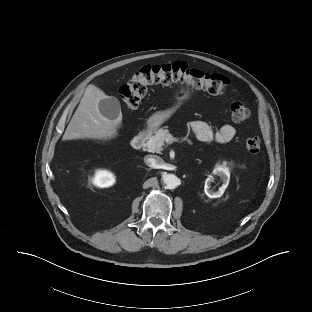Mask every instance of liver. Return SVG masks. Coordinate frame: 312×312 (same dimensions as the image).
I'll return each mask as SVG.
<instances>
[{"label":"liver","mask_w":312,"mask_h":312,"mask_svg":"<svg viewBox=\"0 0 312 312\" xmlns=\"http://www.w3.org/2000/svg\"><path fill=\"white\" fill-rule=\"evenodd\" d=\"M108 97L95 85H89L62 139L109 140L116 137L117 122L106 118L99 110V102Z\"/></svg>","instance_id":"liver-1"}]
</instances>
